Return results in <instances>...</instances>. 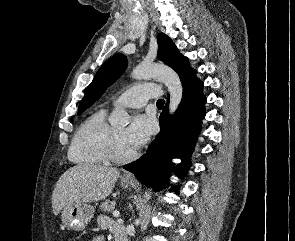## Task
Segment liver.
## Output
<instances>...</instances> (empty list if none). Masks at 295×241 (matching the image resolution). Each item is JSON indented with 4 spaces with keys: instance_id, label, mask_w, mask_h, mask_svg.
I'll use <instances>...</instances> for the list:
<instances>
[{
    "instance_id": "liver-1",
    "label": "liver",
    "mask_w": 295,
    "mask_h": 241,
    "mask_svg": "<svg viewBox=\"0 0 295 241\" xmlns=\"http://www.w3.org/2000/svg\"><path fill=\"white\" fill-rule=\"evenodd\" d=\"M120 172L113 167L77 165L62 174L52 193L54 215L67 205L90 203L110 195Z\"/></svg>"
}]
</instances>
